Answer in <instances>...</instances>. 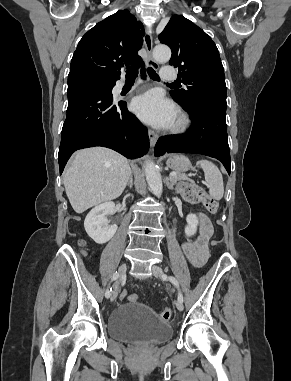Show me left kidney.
Here are the masks:
<instances>
[{
    "label": "left kidney",
    "mask_w": 291,
    "mask_h": 381,
    "mask_svg": "<svg viewBox=\"0 0 291 381\" xmlns=\"http://www.w3.org/2000/svg\"><path fill=\"white\" fill-rule=\"evenodd\" d=\"M186 221H187V226L185 227V234L186 236L191 237L196 234L198 219L196 215L189 214L186 217Z\"/></svg>",
    "instance_id": "left-kidney-1"
}]
</instances>
